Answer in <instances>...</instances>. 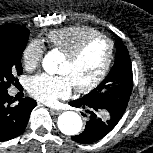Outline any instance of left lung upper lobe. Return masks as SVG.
Wrapping results in <instances>:
<instances>
[{
  "instance_id": "obj_1",
  "label": "left lung upper lobe",
  "mask_w": 153,
  "mask_h": 153,
  "mask_svg": "<svg viewBox=\"0 0 153 153\" xmlns=\"http://www.w3.org/2000/svg\"><path fill=\"white\" fill-rule=\"evenodd\" d=\"M115 64L107 77L80 100L98 103L106 116L120 120L128 104L133 85L132 66L126 46L116 42Z\"/></svg>"
}]
</instances>
